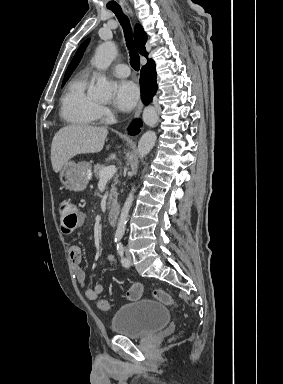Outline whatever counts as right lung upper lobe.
I'll use <instances>...</instances> for the list:
<instances>
[{"mask_svg":"<svg viewBox=\"0 0 283 384\" xmlns=\"http://www.w3.org/2000/svg\"><path fill=\"white\" fill-rule=\"evenodd\" d=\"M134 38H135V44H136V48L137 50L139 51V53L145 57H147V52H146V49H145V43H146V40H147V35L146 33L144 32L143 28L140 26V25H136L135 26V31H134ZM89 43V39H87L86 41H84L81 46L79 47L75 57L73 58L72 62L70 63L66 73H65V76H64V80H63V83H65L68 78L70 77L71 73L73 72V70L76 68V66L78 65V63L80 62L82 56H83V53L87 47ZM151 65H154V62L153 60H148L147 64L145 66H151Z\"/></svg>","mask_w":283,"mask_h":384,"instance_id":"cb5924a9","label":"right lung upper lobe"}]
</instances>
